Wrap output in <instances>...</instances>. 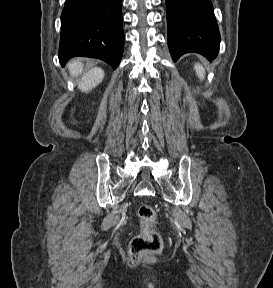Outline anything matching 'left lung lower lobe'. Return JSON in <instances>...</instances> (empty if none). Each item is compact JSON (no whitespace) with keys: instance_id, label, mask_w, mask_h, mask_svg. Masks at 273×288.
Instances as JSON below:
<instances>
[{"instance_id":"1","label":"left lung lower lobe","mask_w":273,"mask_h":288,"mask_svg":"<svg viewBox=\"0 0 273 288\" xmlns=\"http://www.w3.org/2000/svg\"><path fill=\"white\" fill-rule=\"evenodd\" d=\"M168 46L172 58L188 52L216 58L220 33L211 0H166Z\"/></svg>"}]
</instances>
